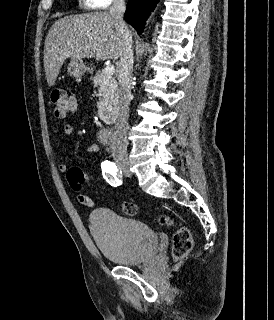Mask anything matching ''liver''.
<instances>
[{
    "label": "liver",
    "mask_w": 274,
    "mask_h": 320,
    "mask_svg": "<svg viewBox=\"0 0 274 320\" xmlns=\"http://www.w3.org/2000/svg\"><path fill=\"white\" fill-rule=\"evenodd\" d=\"M109 12L65 16L51 26L44 46L48 86H54L67 58L118 60L121 42Z\"/></svg>",
    "instance_id": "obj_1"
}]
</instances>
